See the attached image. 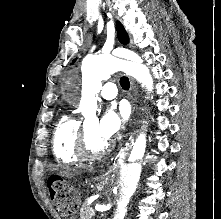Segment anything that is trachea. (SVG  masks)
<instances>
[{
	"instance_id": "3493384b",
	"label": "trachea",
	"mask_w": 221,
	"mask_h": 219,
	"mask_svg": "<svg viewBox=\"0 0 221 219\" xmlns=\"http://www.w3.org/2000/svg\"><path fill=\"white\" fill-rule=\"evenodd\" d=\"M120 85L124 90H128L130 87L129 79L127 77H121Z\"/></svg>"
}]
</instances>
